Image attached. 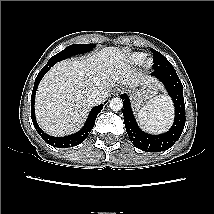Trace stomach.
Returning <instances> with one entry per match:
<instances>
[{"label": "stomach", "mask_w": 214, "mask_h": 214, "mask_svg": "<svg viewBox=\"0 0 214 214\" xmlns=\"http://www.w3.org/2000/svg\"><path fill=\"white\" fill-rule=\"evenodd\" d=\"M159 87L157 84L150 82L142 84L133 92V106L138 111L148 100L156 95Z\"/></svg>", "instance_id": "stomach-1"}]
</instances>
